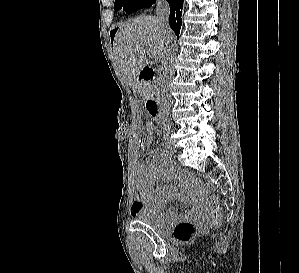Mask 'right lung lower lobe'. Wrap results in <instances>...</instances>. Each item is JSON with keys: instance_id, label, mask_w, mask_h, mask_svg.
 Instances as JSON below:
<instances>
[{"instance_id": "right-lung-lower-lobe-1", "label": "right lung lower lobe", "mask_w": 299, "mask_h": 273, "mask_svg": "<svg viewBox=\"0 0 299 273\" xmlns=\"http://www.w3.org/2000/svg\"><path fill=\"white\" fill-rule=\"evenodd\" d=\"M170 5L169 25L179 38L181 28V16L184 0H167ZM155 0H137L127 11V14L133 13L141 8L150 7Z\"/></svg>"}]
</instances>
